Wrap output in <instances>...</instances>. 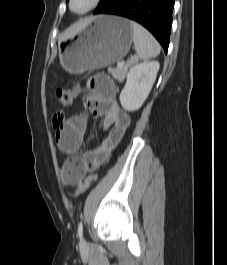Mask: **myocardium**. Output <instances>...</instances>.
<instances>
[{"instance_id": "f54148a6", "label": "myocardium", "mask_w": 227, "mask_h": 265, "mask_svg": "<svg viewBox=\"0 0 227 265\" xmlns=\"http://www.w3.org/2000/svg\"><path fill=\"white\" fill-rule=\"evenodd\" d=\"M73 1L74 0H68L69 10L76 15H83L94 10L101 3L102 0H91L90 4L82 10H74L72 6Z\"/></svg>"}]
</instances>
